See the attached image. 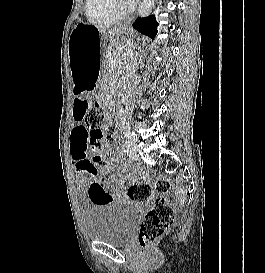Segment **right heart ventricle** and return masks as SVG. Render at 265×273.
I'll list each match as a JSON object with an SVG mask.
<instances>
[{
	"instance_id": "e07e8e85",
	"label": "right heart ventricle",
	"mask_w": 265,
	"mask_h": 273,
	"mask_svg": "<svg viewBox=\"0 0 265 273\" xmlns=\"http://www.w3.org/2000/svg\"><path fill=\"white\" fill-rule=\"evenodd\" d=\"M85 14L94 24H109L120 19L121 15L114 9L111 0H86Z\"/></svg>"
}]
</instances>
